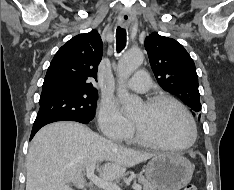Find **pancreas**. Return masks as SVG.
I'll return each instance as SVG.
<instances>
[{"label":"pancreas","instance_id":"cf45deb5","mask_svg":"<svg viewBox=\"0 0 234 190\" xmlns=\"http://www.w3.org/2000/svg\"><path fill=\"white\" fill-rule=\"evenodd\" d=\"M136 179L143 186V190H157V188L149 183L142 174H138L137 176H135V180Z\"/></svg>","mask_w":234,"mask_h":190}]
</instances>
